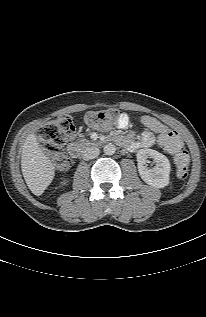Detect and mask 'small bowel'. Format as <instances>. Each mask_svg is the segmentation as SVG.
I'll return each instance as SVG.
<instances>
[{"mask_svg":"<svg viewBox=\"0 0 206 317\" xmlns=\"http://www.w3.org/2000/svg\"><path fill=\"white\" fill-rule=\"evenodd\" d=\"M140 121L147 130L142 133L139 140L134 139V132H130L126 137L118 138V140L131 151L152 146L155 142V135L158 136V140L160 142L166 134L173 132L167 125L154 117L143 115L140 118ZM129 124V116L126 113L121 114L117 126L120 129H126Z\"/></svg>","mask_w":206,"mask_h":317,"instance_id":"small-bowel-1","label":"small bowel"}]
</instances>
